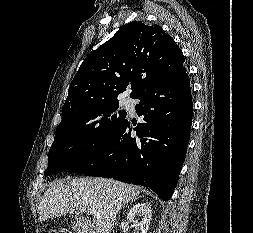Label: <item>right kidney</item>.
Instances as JSON below:
<instances>
[{
	"instance_id": "ca27d5eb",
	"label": "right kidney",
	"mask_w": 253,
	"mask_h": 233,
	"mask_svg": "<svg viewBox=\"0 0 253 233\" xmlns=\"http://www.w3.org/2000/svg\"><path fill=\"white\" fill-rule=\"evenodd\" d=\"M141 220H135V217ZM152 218L151 207L148 202L135 204L128 212L127 219L134 223L136 233H147Z\"/></svg>"
}]
</instances>
